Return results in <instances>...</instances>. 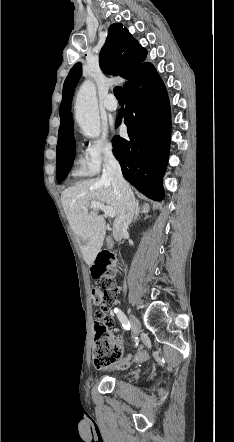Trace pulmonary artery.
I'll return each mask as SVG.
<instances>
[{"instance_id": "1", "label": "pulmonary artery", "mask_w": 234, "mask_h": 442, "mask_svg": "<svg viewBox=\"0 0 234 442\" xmlns=\"http://www.w3.org/2000/svg\"><path fill=\"white\" fill-rule=\"evenodd\" d=\"M104 107L111 112L116 111L118 109V103L112 94L108 95L107 98L105 99Z\"/></svg>"}]
</instances>
